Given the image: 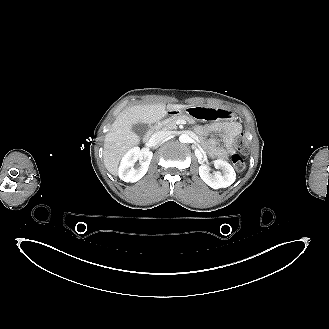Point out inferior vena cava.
<instances>
[{
    "label": "inferior vena cava",
    "mask_w": 329,
    "mask_h": 329,
    "mask_svg": "<svg viewBox=\"0 0 329 329\" xmlns=\"http://www.w3.org/2000/svg\"><path fill=\"white\" fill-rule=\"evenodd\" d=\"M170 135H171V133L169 131H165V130L158 131L152 135V140L155 143H160V142L168 139L170 137Z\"/></svg>",
    "instance_id": "602c4592"
}]
</instances>
